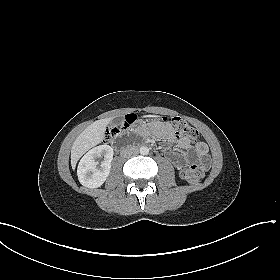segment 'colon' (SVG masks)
<instances>
[{
    "instance_id": "1",
    "label": "colon",
    "mask_w": 280,
    "mask_h": 280,
    "mask_svg": "<svg viewBox=\"0 0 280 280\" xmlns=\"http://www.w3.org/2000/svg\"><path fill=\"white\" fill-rule=\"evenodd\" d=\"M137 117L135 115H128L120 125H113L108 127L106 131V137L108 140L114 139L122 130L129 127L136 122ZM162 121L167 124L173 132L180 136L190 140H196L198 137V131L189 124L186 120L177 116H164ZM205 171L198 165H189L182 169L181 176L189 183H197L203 179Z\"/></svg>"
}]
</instances>
